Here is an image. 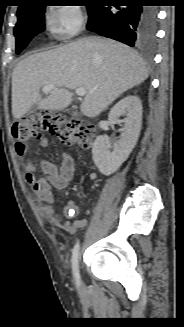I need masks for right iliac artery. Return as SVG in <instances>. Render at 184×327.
I'll return each mask as SVG.
<instances>
[{
  "instance_id": "1",
  "label": "right iliac artery",
  "mask_w": 184,
  "mask_h": 327,
  "mask_svg": "<svg viewBox=\"0 0 184 327\" xmlns=\"http://www.w3.org/2000/svg\"><path fill=\"white\" fill-rule=\"evenodd\" d=\"M79 243L72 249V270L77 285H80V274L78 266Z\"/></svg>"
}]
</instances>
